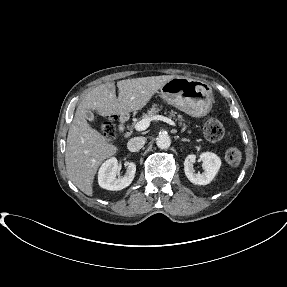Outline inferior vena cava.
Wrapping results in <instances>:
<instances>
[{
  "label": "inferior vena cava",
  "mask_w": 287,
  "mask_h": 287,
  "mask_svg": "<svg viewBox=\"0 0 287 287\" xmlns=\"http://www.w3.org/2000/svg\"><path fill=\"white\" fill-rule=\"evenodd\" d=\"M145 142L144 137H134L128 141L127 148L131 152H137L144 146Z\"/></svg>",
  "instance_id": "inferior-vena-cava-1"
}]
</instances>
